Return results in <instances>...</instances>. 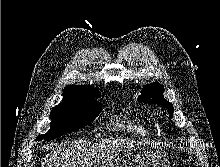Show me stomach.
<instances>
[{
    "instance_id": "obj_1",
    "label": "stomach",
    "mask_w": 220,
    "mask_h": 167,
    "mask_svg": "<svg viewBox=\"0 0 220 167\" xmlns=\"http://www.w3.org/2000/svg\"><path fill=\"white\" fill-rule=\"evenodd\" d=\"M114 167H170L167 155L152 142L125 145Z\"/></svg>"
}]
</instances>
